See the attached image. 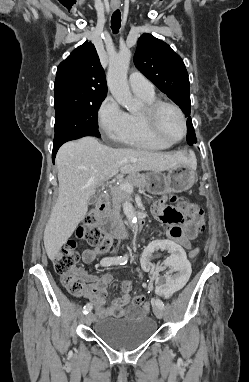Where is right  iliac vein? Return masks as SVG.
Masks as SVG:
<instances>
[{"label": "right iliac vein", "instance_id": "right-iliac-vein-1", "mask_svg": "<svg viewBox=\"0 0 249 382\" xmlns=\"http://www.w3.org/2000/svg\"><path fill=\"white\" fill-rule=\"evenodd\" d=\"M93 313L89 312L85 317H84V322L88 325L93 321Z\"/></svg>", "mask_w": 249, "mask_h": 382}]
</instances>
